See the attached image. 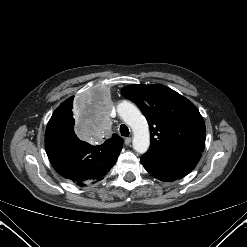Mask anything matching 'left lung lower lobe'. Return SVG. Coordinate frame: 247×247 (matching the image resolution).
<instances>
[{
  "instance_id": "obj_1",
  "label": "left lung lower lobe",
  "mask_w": 247,
  "mask_h": 247,
  "mask_svg": "<svg viewBox=\"0 0 247 247\" xmlns=\"http://www.w3.org/2000/svg\"><path fill=\"white\" fill-rule=\"evenodd\" d=\"M201 152L167 154L147 151L140 159L144 168L161 181H173L190 173L198 163Z\"/></svg>"
}]
</instances>
